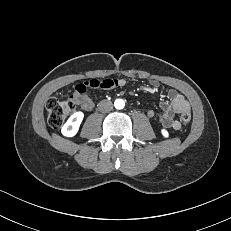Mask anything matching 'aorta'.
Returning a JSON list of instances; mask_svg holds the SVG:
<instances>
[{"instance_id":"obj_1","label":"aorta","mask_w":231,"mask_h":231,"mask_svg":"<svg viewBox=\"0 0 231 231\" xmlns=\"http://www.w3.org/2000/svg\"><path fill=\"white\" fill-rule=\"evenodd\" d=\"M114 106L116 109H123L125 106V102L122 99H116L114 102Z\"/></svg>"}]
</instances>
